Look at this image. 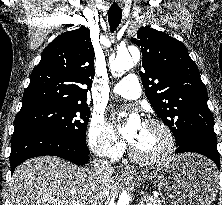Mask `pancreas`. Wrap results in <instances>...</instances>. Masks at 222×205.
<instances>
[{
    "mask_svg": "<svg viewBox=\"0 0 222 205\" xmlns=\"http://www.w3.org/2000/svg\"><path fill=\"white\" fill-rule=\"evenodd\" d=\"M141 205H161V201L153 196H144Z\"/></svg>",
    "mask_w": 222,
    "mask_h": 205,
    "instance_id": "obj_1",
    "label": "pancreas"
}]
</instances>
